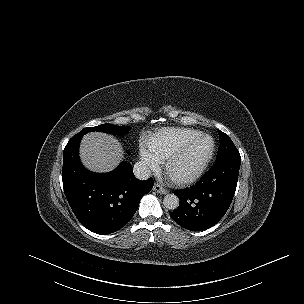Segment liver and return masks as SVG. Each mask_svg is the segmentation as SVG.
<instances>
[{
    "label": "liver",
    "mask_w": 304,
    "mask_h": 304,
    "mask_svg": "<svg viewBox=\"0 0 304 304\" xmlns=\"http://www.w3.org/2000/svg\"><path fill=\"white\" fill-rule=\"evenodd\" d=\"M83 164L95 172H109L123 160V150L117 139L101 132L86 134L80 147Z\"/></svg>",
    "instance_id": "1"
}]
</instances>
